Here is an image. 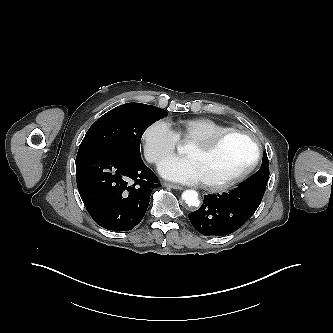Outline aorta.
Returning a JSON list of instances; mask_svg holds the SVG:
<instances>
[{"mask_svg": "<svg viewBox=\"0 0 333 333\" xmlns=\"http://www.w3.org/2000/svg\"><path fill=\"white\" fill-rule=\"evenodd\" d=\"M182 199L188 206L198 207L200 204L198 192L195 190H185L182 193Z\"/></svg>", "mask_w": 333, "mask_h": 333, "instance_id": "762f6f07", "label": "aorta"}]
</instances>
